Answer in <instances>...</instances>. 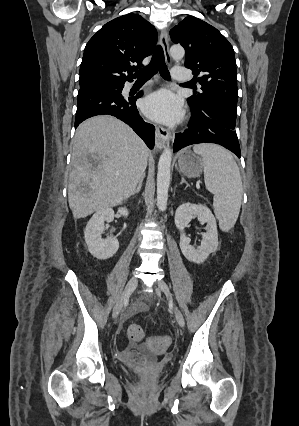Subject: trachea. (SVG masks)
Listing matches in <instances>:
<instances>
[{
  "mask_svg": "<svg viewBox=\"0 0 299 426\" xmlns=\"http://www.w3.org/2000/svg\"><path fill=\"white\" fill-rule=\"evenodd\" d=\"M157 71L160 75L169 80L170 74L165 64L164 52L161 46H157L154 51L153 58L151 62L144 68L137 70L138 80H148L150 79Z\"/></svg>",
  "mask_w": 299,
  "mask_h": 426,
  "instance_id": "1",
  "label": "trachea"
}]
</instances>
